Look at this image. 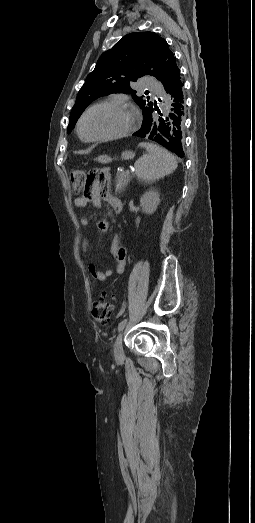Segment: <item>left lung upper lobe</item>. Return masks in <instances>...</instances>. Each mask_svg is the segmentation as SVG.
I'll return each mask as SVG.
<instances>
[{
  "mask_svg": "<svg viewBox=\"0 0 255 523\" xmlns=\"http://www.w3.org/2000/svg\"><path fill=\"white\" fill-rule=\"evenodd\" d=\"M144 75L155 76L165 88L173 84L174 77L180 75V69L165 39L153 32L128 34L101 55L95 69L87 76L72 108L67 133H71L77 119L92 101L111 93L132 94L142 109L143 118L150 115L149 110L160 112L157 105L154 108L152 102L144 100L143 96L138 97L130 87L131 81Z\"/></svg>",
  "mask_w": 255,
  "mask_h": 523,
  "instance_id": "1",
  "label": "left lung upper lobe"
}]
</instances>
